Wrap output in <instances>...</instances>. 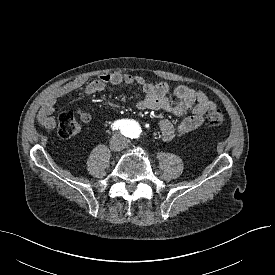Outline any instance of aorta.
I'll use <instances>...</instances> for the list:
<instances>
[{
  "instance_id": "762f6f07",
  "label": "aorta",
  "mask_w": 275,
  "mask_h": 275,
  "mask_svg": "<svg viewBox=\"0 0 275 275\" xmlns=\"http://www.w3.org/2000/svg\"><path fill=\"white\" fill-rule=\"evenodd\" d=\"M138 127H136V129H137ZM137 134V130L134 132V135H136Z\"/></svg>"
}]
</instances>
